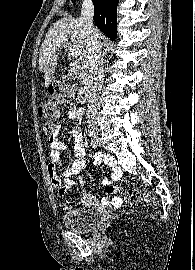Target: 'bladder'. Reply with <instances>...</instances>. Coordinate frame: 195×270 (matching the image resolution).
Here are the masks:
<instances>
[{
  "instance_id": "obj_1",
  "label": "bladder",
  "mask_w": 195,
  "mask_h": 270,
  "mask_svg": "<svg viewBox=\"0 0 195 270\" xmlns=\"http://www.w3.org/2000/svg\"><path fill=\"white\" fill-rule=\"evenodd\" d=\"M98 214L93 209L70 210L63 215L64 226L78 233L89 232L96 224Z\"/></svg>"
}]
</instances>
